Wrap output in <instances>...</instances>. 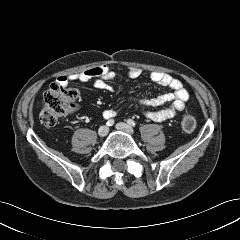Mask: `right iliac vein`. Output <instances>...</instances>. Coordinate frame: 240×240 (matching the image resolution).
<instances>
[{"mask_svg":"<svg viewBox=\"0 0 240 240\" xmlns=\"http://www.w3.org/2000/svg\"><path fill=\"white\" fill-rule=\"evenodd\" d=\"M109 132V128L107 126H101L98 130V135L100 137H105Z\"/></svg>","mask_w":240,"mask_h":240,"instance_id":"obj_1","label":"right iliac vein"}]
</instances>
